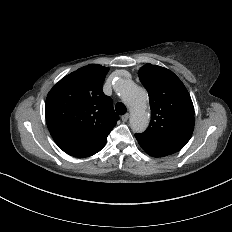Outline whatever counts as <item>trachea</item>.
Instances as JSON below:
<instances>
[{"instance_id":"obj_1","label":"trachea","mask_w":232,"mask_h":232,"mask_svg":"<svg viewBox=\"0 0 232 232\" xmlns=\"http://www.w3.org/2000/svg\"><path fill=\"white\" fill-rule=\"evenodd\" d=\"M115 110H116L117 114L124 115L127 111V108L122 102H118L115 105Z\"/></svg>"}]
</instances>
